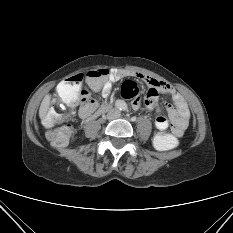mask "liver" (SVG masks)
<instances>
[{"instance_id": "1", "label": "liver", "mask_w": 233, "mask_h": 233, "mask_svg": "<svg viewBox=\"0 0 233 233\" xmlns=\"http://www.w3.org/2000/svg\"><path fill=\"white\" fill-rule=\"evenodd\" d=\"M50 99H51V95L47 94L45 95V97L43 98L40 108H39V116L42 119L43 117H45L49 106H50Z\"/></svg>"}]
</instances>
